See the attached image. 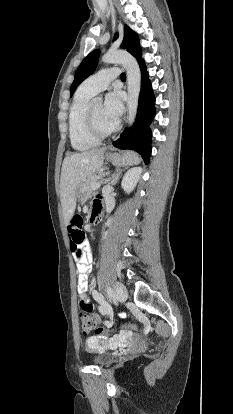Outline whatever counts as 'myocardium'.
<instances>
[{
  "mask_svg": "<svg viewBox=\"0 0 233 414\" xmlns=\"http://www.w3.org/2000/svg\"><path fill=\"white\" fill-rule=\"evenodd\" d=\"M85 128L89 135H91L93 138L97 140H103L113 136L118 131L119 123H116L110 131H100L95 124L91 106H88L85 112Z\"/></svg>",
  "mask_w": 233,
  "mask_h": 414,
  "instance_id": "1",
  "label": "myocardium"
}]
</instances>
